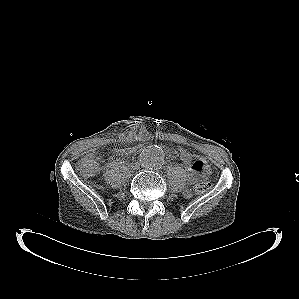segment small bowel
Listing matches in <instances>:
<instances>
[{
	"label": "small bowel",
	"mask_w": 299,
	"mask_h": 299,
	"mask_svg": "<svg viewBox=\"0 0 299 299\" xmlns=\"http://www.w3.org/2000/svg\"><path fill=\"white\" fill-rule=\"evenodd\" d=\"M140 146H131L126 148H119L115 150L116 155L134 154L139 150ZM189 172V182L195 183L199 179L206 177L208 174V167L206 162L199 156H194L193 162L187 166Z\"/></svg>",
	"instance_id": "1"
}]
</instances>
